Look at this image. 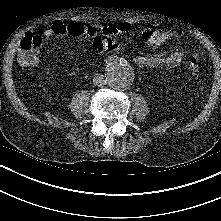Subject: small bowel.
I'll list each match as a JSON object with an SVG mask.
<instances>
[{
	"instance_id": "obj_1",
	"label": "small bowel",
	"mask_w": 221,
	"mask_h": 221,
	"mask_svg": "<svg viewBox=\"0 0 221 221\" xmlns=\"http://www.w3.org/2000/svg\"><path fill=\"white\" fill-rule=\"evenodd\" d=\"M133 32L131 25L122 23L117 26L103 25L100 28H94L83 23L56 21L47 27L41 36H38L42 42L53 36H73L78 38H90L95 50L99 53L121 51L122 44L113 40L114 37ZM139 38L149 47L157 48L172 37L177 38V34H171L166 31H159L154 28H148L139 33ZM184 58L182 50H175L167 54L143 55L135 54L134 63L140 68H165L173 69L179 66Z\"/></svg>"
}]
</instances>
